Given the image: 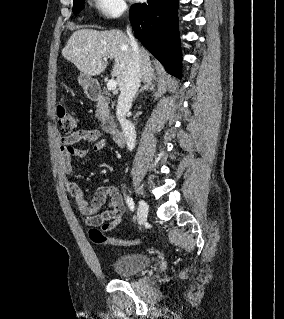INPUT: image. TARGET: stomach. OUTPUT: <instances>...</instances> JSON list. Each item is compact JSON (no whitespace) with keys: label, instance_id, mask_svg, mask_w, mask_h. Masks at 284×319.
I'll return each instance as SVG.
<instances>
[{"label":"stomach","instance_id":"obj_1","mask_svg":"<svg viewBox=\"0 0 284 319\" xmlns=\"http://www.w3.org/2000/svg\"><path fill=\"white\" fill-rule=\"evenodd\" d=\"M78 81L86 93H88L89 89L96 83L94 79L83 73L79 75Z\"/></svg>","mask_w":284,"mask_h":319}]
</instances>
